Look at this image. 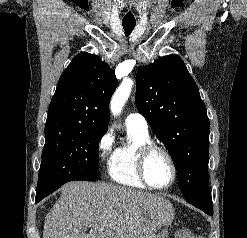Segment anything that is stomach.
<instances>
[{"label":"stomach","mask_w":247,"mask_h":238,"mask_svg":"<svg viewBox=\"0 0 247 238\" xmlns=\"http://www.w3.org/2000/svg\"><path fill=\"white\" fill-rule=\"evenodd\" d=\"M155 238H168V231L163 229L161 233L157 234Z\"/></svg>","instance_id":"0dacf381"}]
</instances>
